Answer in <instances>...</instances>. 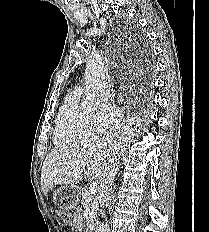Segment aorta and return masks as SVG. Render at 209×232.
Instances as JSON below:
<instances>
[{
	"instance_id": "obj_1",
	"label": "aorta",
	"mask_w": 209,
	"mask_h": 232,
	"mask_svg": "<svg viewBox=\"0 0 209 232\" xmlns=\"http://www.w3.org/2000/svg\"><path fill=\"white\" fill-rule=\"evenodd\" d=\"M85 82L86 98L82 102V107L91 112L97 109L105 91V65L98 54L93 55L86 65ZM96 232H104V225L100 224Z\"/></svg>"
}]
</instances>
